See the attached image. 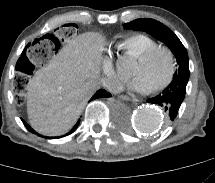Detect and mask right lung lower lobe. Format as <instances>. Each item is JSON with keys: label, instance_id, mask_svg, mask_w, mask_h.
<instances>
[{"label": "right lung lower lobe", "instance_id": "right-lung-lower-lobe-1", "mask_svg": "<svg viewBox=\"0 0 215 183\" xmlns=\"http://www.w3.org/2000/svg\"><path fill=\"white\" fill-rule=\"evenodd\" d=\"M110 96H111L110 93L106 92L104 89H100V90H98V91L94 94V96L91 98V100L97 99V98L110 97ZM22 121H23V120H22ZM23 123H24V125L26 126V128H27L29 131H31L32 133H36L26 122L23 121ZM79 123H80V121H78V122L76 123V125L72 128V130H71L68 134H66V135L71 134V133L78 127Z\"/></svg>", "mask_w": 215, "mask_h": 183}]
</instances>
